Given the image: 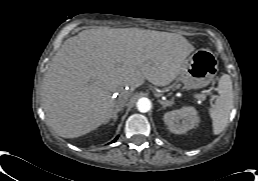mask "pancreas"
<instances>
[{
	"instance_id": "1",
	"label": "pancreas",
	"mask_w": 258,
	"mask_h": 181,
	"mask_svg": "<svg viewBox=\"0 0 258 181\" xmlns=\"http://www.w3.org/2000/svg\"><path fill=\"white\" fill-rule=\"evenodd\" d=\"M205 97L206 96L204 94H199L198 99L205 100Z\"/></svg>"
}]
</instances>
